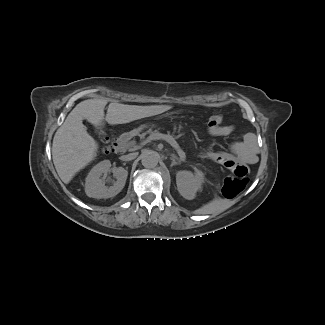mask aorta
Returning a JSON list of instances; mask_svg holds the SVG:
<instances>
[{
	"label": "aorta",
	"instance_id": "1",
	"mask_svg": "<svg viewBox=\"0 0 325 325\" xmlns=\"http://www.w3.org/2000/svg\"><path fill=\"white\" fill-rule=\"evenodd\" d=\"M159 161V155L151 150H147L141 154V163L145 168H154Z\"/></svg>",
	"mask_w": 325,
	"mask_h": 325
}]
</instances>
